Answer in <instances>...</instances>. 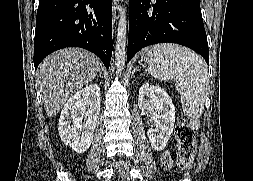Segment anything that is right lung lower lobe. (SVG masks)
Masks as SVG:
<instances>
[{
	"instance_id": "obj_1",
	"label": "right lung lower lobe",
	"mask_w": 253,
	"mask_h": 181,
	"mask_svg": "<svg viewBox=\"0 0 253 181\" xmlns=\"http://www.w3.org/2000/svg\"><path fill=\"white\" fill-rule=\"evenodd\" d=\"M112 0H39L34 66L50 53L81 47L95 53L108 69L112 56Z\"/></svg>"
}]
</instances>
